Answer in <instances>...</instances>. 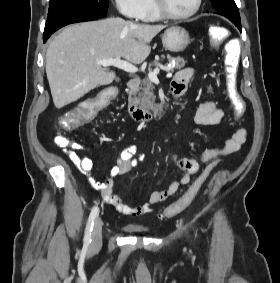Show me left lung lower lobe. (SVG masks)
Returning <instances> with one entry per match:
<instances>
[{"mask_svg":"<svg viewBox=\"0 0 280 283\" xmlns=\"http://www.w3.org/2000/svg\"><path fill=\"white\" fill-rule=\"evenodd\" d=\"M231 22L241 31V22L235 20Z\"/></svg>","mask_w":280,"mask_h":283,"instance_id":"0a47b994","label":"left lung lower lobe"}]
</instances>
